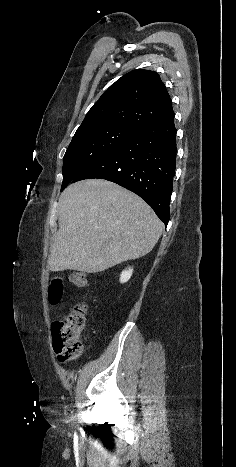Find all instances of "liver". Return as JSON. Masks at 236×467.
I'll return each mask as SVG.
<instances>
[{"mask_svg": "<svg viewBox=\"0 0 236 467\" xmlns=\"http://www.w3.org/2000/svg\"><path fill=\"white\" fill-rule=\"evenodd\" d=\"M59 229L50 249L52 272L104 271L148 254L163 223L139 196L107 180L68 186L59 198Z\"/></svg>", "mask_w": 236, "mask_h": 467, "instance_id": "6515ba94", "label": "liver"}]
</instances>
